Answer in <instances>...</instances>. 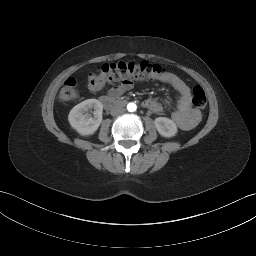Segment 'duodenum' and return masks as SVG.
<instances>
[{"label": "duodenum", "mask_w": 256, "mask_h": 256, "mask_svg": "<svg viewBox=\"0 0 256 256\" xmlns=\"http://www.w3.org/2000/svg\"><path fill=\"white\" fill-rule=\"evenodd\" d=\"M101 102L105 109L107 110H113V109H119L126 105V101L124 100H118L114 97H111L109 95H105L102 97Z\"/></svg>", "instance_id": "410a0bca"}]
</instances>
